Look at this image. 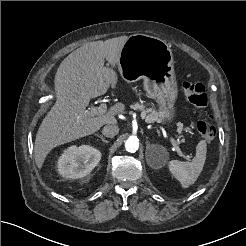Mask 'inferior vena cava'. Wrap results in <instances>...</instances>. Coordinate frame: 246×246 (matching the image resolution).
Returning <instances> with one entry per match:
<instances>
[{
    "label": "inferior vena cava",
    "instance_id": "602c4592",
    "mask_svg": "<svg viewBox=\"0 0 246 246\" xmlns=\"http://www.w3.org/2000/svg\"><path fill=\"white\" fill-rule=\"evenodd\" d=\"M119 132V127L117 125H106L102 129V133L106 137H114L118 134Z\"/></svg>",
    "mask_w": 246,
    "mask_h": 246
}]
</instances>
